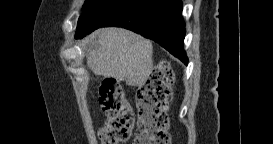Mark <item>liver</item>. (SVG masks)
Segmentation results:
<instances>
[{
  "instance_id": "1",
  "label": "liver",
  "mask_w": 273,
  "mask_h": 144,
  "mask_svg": "<svg viewBox=\"0 0 273 144\" xmlns=\"http://www.w3.org/2000/svg\"><path fill=\"white\" fill-rule=\"evenodd\" d=\"M95 35L98 46L87 57L94 74L143 86L153 70L151 42L123 28H103Z\"/></svg>"
}]
</instances>
